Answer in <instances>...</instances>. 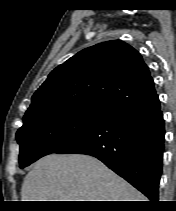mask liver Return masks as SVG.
Segmentation results:
<instances>
[{"label":"liver","mask_w":176,"mask_h":211,"mask_svg":"<svg viewBox=\"0 0 176 211\" xmlns=\"http://www.w3.org/2000/svg\"><path fill=\"white\" fill-rule=\"evenodd\" d=\"M22 201H144L145 197L98 159L50 154L25 176Z\"/></svg>","instance_id":"obj_1"}]
</instances>
